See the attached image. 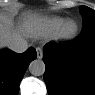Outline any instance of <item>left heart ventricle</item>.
Here are the masks:
<instances>
[{
  "label": "left heart ventricle",
  "mask_w": 95,
  "mask_h": 95,
  "mask_svg": "<svg viewBox=\"0 0 95 95\" xmlns=\"http://www.w3.org/2000/svg\"><path fill=\"white\" fill-rule=\"evenodd\" d=\"M74 29V26L73 25H71L70 26V28H69V30H73Z\"/></svg>",
  "instance_id": "1"
}]
</instances>
